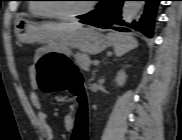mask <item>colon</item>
<instances>
[{"instance_id": "5ec220e1", "label": "colon", "mask_w": 182, "mask_h": 140, "mask_svg": "<svg viewBox=\"0 0 182 140\" xmlns=\"http://www.w3.org/2000/svg\"><path fill=\"white\" fill-rule=\"evenodd\" d=\"M39 87L44 92L67 91L76 101L70 140H89V97L77 66L65 56H45L36 63Z\"/></svg>"}]
</instances>
